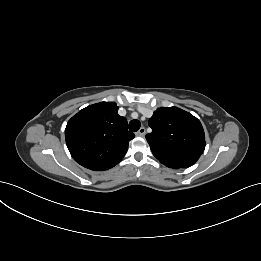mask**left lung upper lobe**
Segmentation results:
<instances>
[{"mask_svg": "<svg viewBox=\"0 0 261 261\" xmlns=\"http://www.w3.org/2000/svg\"><path fill=\"white\" fill-rule=\"evenodd\" d=\"M152 132L146 135L153 155L165 165L187 168L205 149L200 121L177 107L158 108L149 119Z\"/></svg>", "mask_w": 261, "mask_h": 261, "instance_id": "obj_1", "label": "left lung upper lobe"}]
</instances>
